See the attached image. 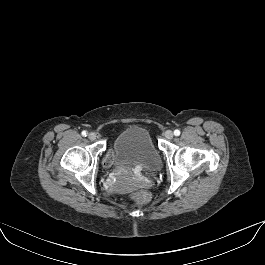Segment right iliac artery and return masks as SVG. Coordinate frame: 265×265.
Segmentation results:
<instances>
[{"instance_id":"1","label":"right iliac artery","mask_w":265,"mask_h":265,"mask_svg":"<svg viewBox=\"0 0 265 265\" xmlns=\"http://www.w3.org/2000/svg\"><path fill=\"white\" fill-rule=\"evenodd\" d=\"M82 136H84V137H86L87 136V134H88V132L87 131H82Z\"/></svg>"}]
</instances>
